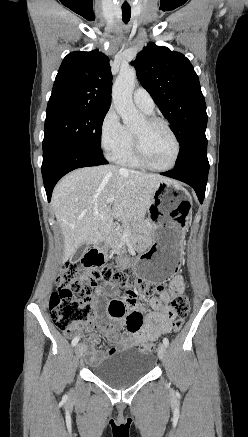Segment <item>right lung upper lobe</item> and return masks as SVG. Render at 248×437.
<instances>
[{"label": "right lung upper lobe", "instance_id": "1", "mask_svg": "<svg viewBox=\"0 0 248 437\" xmlns=\"http://www.w3.org/2000/svg\"><path fill=\"white\" fill-rule=\"evenodd\" d=\"M112 74L108 57L94 50L71 52L56 76L48 103L69 102L109 110Z\"/></svg>", "mask_w": 248, "mask_h": 437}]
</instances>
